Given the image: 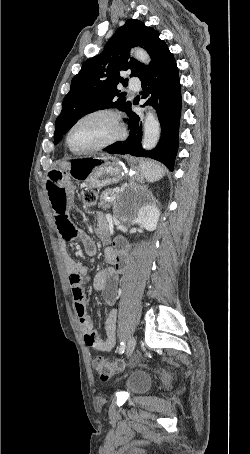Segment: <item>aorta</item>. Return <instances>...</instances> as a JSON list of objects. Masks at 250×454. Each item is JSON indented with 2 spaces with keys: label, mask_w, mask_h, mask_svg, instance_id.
<instances>
[{
  "label": "aorta",
  "mask_w": 250,
  "mask_h": 454,
  "mask_svg": "<svg viewBox=\"0 0 250 454\" xmlns=\"http://www.w3.org/2000/svg\"><path fill=\"white\" fill-rule=\"evenodd\" d=\"M134 57L144 64L150 62V57L144 49L135 48ZM160 137V123L153 111H148L143 126L142 146L145 150L153 149Z\"/></svg>",
  "instance_id": "aorta-1"
}]
</instances>
